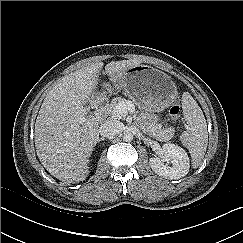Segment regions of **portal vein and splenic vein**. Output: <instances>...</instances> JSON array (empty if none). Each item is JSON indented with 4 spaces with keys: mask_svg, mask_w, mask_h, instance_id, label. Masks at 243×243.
<instances>
[{
    "mask_svg": "<svg viewBox=\"0 0 243 243\" xmlns=\"http://www.w3.org/2000/svg\"><path fill=\"white\" fill-rule=\"evenodd\" d=\"M134 110H135V106L130 101H127L126 103H119L116 106V111L120 114H125L128 111L133 112Z\"/></svg>",
    "mask_w": 243,
    "mask_h": 243,
    "instance_id": "portal-vein-and-splenic-vein-1",
    "label": "portal vein and splenic vein"
}]
</instances>
